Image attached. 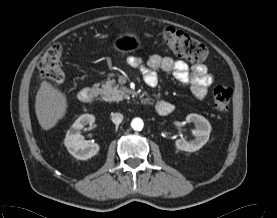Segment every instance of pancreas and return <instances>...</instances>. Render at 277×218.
<instances>
[{
  "label": "pancreas",
  "instance_id": "1",
  "mask_svg": "<svg viewBox=\"0 0 277 218\" xmlns=\"http://www.w3.org/2000/svg\"><path fill=\"white\" fill-rule=\"evenodd\" d=\"M99 89L100 95L105 101H121L128 97L129 90L125 86H119L114 80H108L99 88V84L94 85Z\"/></svg>",
  "mask_w": 277,
  "mask_h": 218
}]
</instances>
